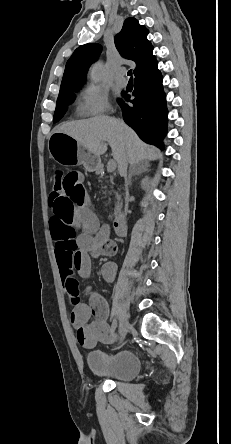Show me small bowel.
<instances>
[{
  "instance_id": "c3829d8e",
  "label": "small bowel",
  "mask_w": 231,
  "mask_h": 444,
  "mask_svg": "<svg viewBox=\"0 0 231 444\" xmlns=\"http://www.w3.org/2000/svg\"><path fill=\"white\" fill-rule=\"evenodd\" d=\"M66 194L50 199L53 215L50 231L55 245L64 291L71 308L70 320L80 345L93 348L98 343H111L115 334L107 320L109 307L106 300L92 288L87 289L88 301L80 298L76 273L84 278L91 274V260L97 256H112L116 245L106 233H96L98 220L91 208L84 187V175L71 171L65 175ZM105 281L114 280L116 267L107 263L102 267ZM94 318L93 320H91Z\"/></svg>"
}]
</instances>
